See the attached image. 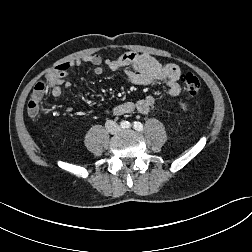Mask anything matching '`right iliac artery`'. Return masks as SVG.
I'll return each instance as SVG.
<instances>
[{
    "mask_svg": "<svg viewBox=\"0 0 252 252\" xmlns=\"http://www.w3.org/2000/svg\"><path fill=\"white\" fill-rule=\"evenodd\" d=\"M121 126H122L123 128H129L130 123H129L128 121H124V122H122Z\"/></svg>",
    "mask_w": 252,
    "mask_h": 252,
    "instance_id": "82829eb1",
    "label": "right iliac artery"
}]
</instances>
